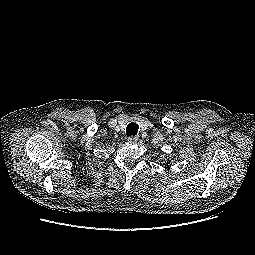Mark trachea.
I'll return each instance as SVG.
<instances>
[{
    "mask_svg": "<svg viewBox=\"0 0 255 255\" xmlns=\"http://www.w3.org/2000/svg\"><path fill=\"white\" fill-rule=\"evenodd\" d=\"M138 124L135 122H131L126 127V134L127 136H135L138 132Z\"/></svg>",
    "mask_w": 255,
    "mask_h": 255,
    "instance_id": "trachea-1",
    "label": "trachea"
}]
</instances>
